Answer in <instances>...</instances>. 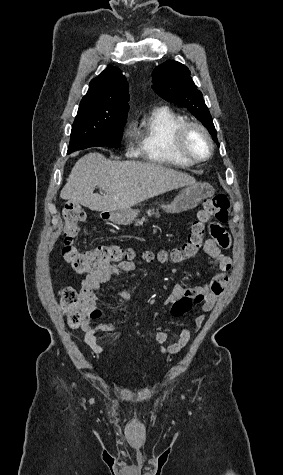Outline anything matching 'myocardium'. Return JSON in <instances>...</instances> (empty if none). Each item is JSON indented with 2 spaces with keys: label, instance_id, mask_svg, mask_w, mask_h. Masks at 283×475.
Returning a JSON list of instances; mask_svg holds the SVG:
<instances>
[{
  "label": "myocardium",
  "instance_id": "f54148a6",
  "mask_svg": "<svg viewBox=\"0 0 283 475\" xmlns=\"http://www.w3.org/2000/svg\"><path fill=\"white\" fill-rule=\"evenodd\" d=\"M191 129L198 130L207 140L208 147H209L207 155L204 157H192L187 154H183L180 157H173L166 152L165 145H162L161 152H162V157L165 160V162H205L213 156V153H214L213 139L211 135L209 134V132L206 130V128L198 122L186 121L180 126H178L170 137L171 143L179 148L182 147L185 143L187 133Z\"/></svg>",
  "mask_w": 283,
  "mask_h": 475
}]
</instances>
